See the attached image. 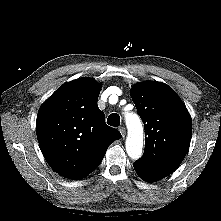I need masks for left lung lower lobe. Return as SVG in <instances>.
I'll use <instances>...</instances> for the list:
<instances>
[{
  "label": "left lung lower lobe",
  "mask_w": 221,
  "mask_h": 221,
  "mask_svg": "<svg viewBox=\"0 0 221 221\" xmlns=\"http://www.w3.org/2000/svg\"><path fill=\"white\" fill-rule=\"evenodd\" d=\"M134 169L139 177L147 182H155L169 175L166 172L150 168L137 161L134 163Z\"/></svg>",
  "instance_id": "left-lung-lower-lobe-1"
}]
</instances>
